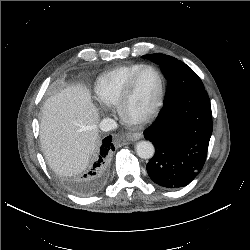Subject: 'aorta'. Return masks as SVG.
<instances>
[{
	"label": "aorta",
	"mask_w": 250,
	"mask_h": 250,
	"mask_svg": "<svg viewBox=\"0 0 250 250\" xmlns=\"http://www.w3.org/2000/svg\"><path fill=\"white\" fill-rule=\"evenodd\" d=\"M136 153L142 159H150L155 153V148L149 141H140L136 144Z\"/></svg>",
	"instance_id": "aorta-1"
}]
</instances>
